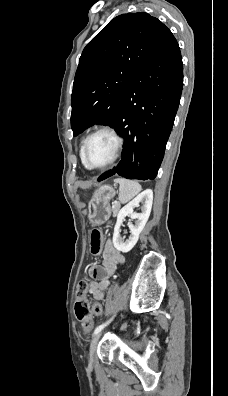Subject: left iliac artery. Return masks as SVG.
<instances>
[{
	"instance_id": "1",
	"label": "left iliac artery",
	"mask_w": 228,
	"mask_h": 396,
	"mask_svg": "<svg viewBox=\"0 0 228 396\" xmlns=\"http://www.w3.org/2000/svg\"><path fill=\"white\" fill-rule=\"evenodd\" d=\"M112 320H113V317H112L110 320H108L107 322H105V323L99 325L98 327H96V329L94 330L93 335L99 333V332H100L106 325H108Z\"/></svg>"
}]
</instances>
